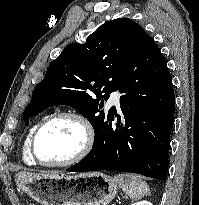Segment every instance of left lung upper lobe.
Listing matches in <instances>:
<instances>
[{"mask_svg": "<svg viewBox=\"0 0 199 205\" xmlns=\"http://www.w3.org/2000/svg\"><path fill=\"white\" fill-rule=\"evenodd\" d=\"M144 33L133 20L118 18L101 25L84 44L67 46L35 87L25 124L48 107L68 105L88 118L98 136L113 118L111 110H101L103 102L119 90Z\"/></svg>", "mask_w": 199, "mask_h": 205, "instance_id": "1", "label": "left lung upper lobe"}]
</instances>
